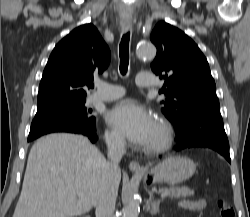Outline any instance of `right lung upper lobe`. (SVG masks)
Wrapping results in <instances>:
<instances>
[{"instance_id": "right-lung-upper-lobe-1", "label": "right lung upper lobe", "mask_w": 250, "mask_h": 217, "mask_svg": "<svg viewBox=\"0 0 250 217\" xmlns=\"http://www.w3.org/2000/svg\"><path fill=\"white\" fill-rule=\"evenodd\" d=\"M110 50L98 30L85 24L69 33L52 51L39 86L38 109L84 99L93 75L109 65Z\"/></svg>"}]
</instances>
